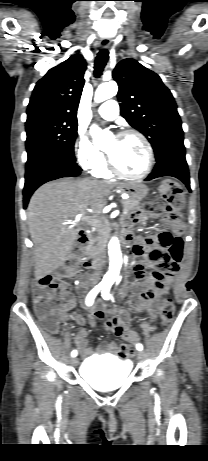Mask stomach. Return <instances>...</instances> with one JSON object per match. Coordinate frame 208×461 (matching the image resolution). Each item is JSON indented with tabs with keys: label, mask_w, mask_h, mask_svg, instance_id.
<instances>
[{
	"label": "stomach",
	"mask_w": 208,
	"mask_h": 461,
	"mask_svg": "<svg viewBox=\"0 0 208 461\" xmlns=\"http://www.w3.org/2000/svg\"><path fill=\"white\" fill-rule=\"evenodd\" d=\"M121 192L128 193L131 198L141 200L143 199L149 191V188L140 182H129L123 184L120 188Z\"/></svg>",
	"instance_id": "stomach-1"
}]
</instances>
